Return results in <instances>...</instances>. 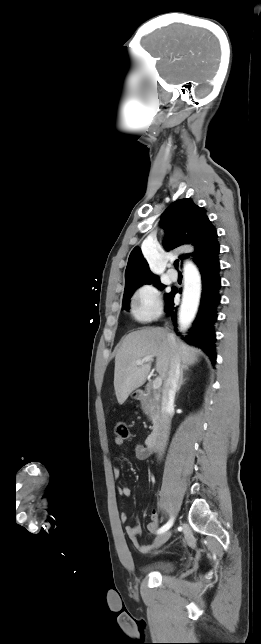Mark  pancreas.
Wrapping results in <instances>:
<instances>
[{
    "instance_id": "obj_1",
    "label": "pancreas",
    "mask_w": 261,
    "mask_h": 644,
    "mask_svg": "<svg viewBox=\"0 0 261 644\" xmlns=\"http://www.w3.org/2000/svg\"><path fill=\"white\" fill-rule=\"evenodd\" d=\"M143 412L149 417L150 420H153L149 402L145 399L141 401Z\"/></svg>"
}]
</instances>
